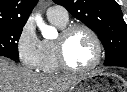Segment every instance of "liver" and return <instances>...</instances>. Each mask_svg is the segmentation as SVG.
Returning a JSON list of instances; mask_svg holds the SVG:
<instances>
[{"label": "liver", "instance_id": "liver-1", "mask_svg": "<svg viewBox=\"0 0 127 92\" xmlns=\"http://www.w3.org/2000/svg\"><path fill=\"white\" fill-rule=\"evenodd\" d=\"M81 78L38 74L0 57V92H68Z\"/></svg>", "mask_w": 127, "mask_h": 92}]
</instances>
